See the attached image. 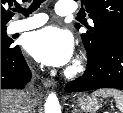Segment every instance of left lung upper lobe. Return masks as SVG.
I'll return each mask as SVG.
<instances>
[{"label":"left lung upper lobe","mask_w":123,"mask_h":113,"mask_svg":"<svg viewBox=\"0 0 123 113\" xmlns=\"http://www.w3.org/2000/svg\"><path fill=\"white\" fill-rule=\"evenodd\" d=\"M93 20L88 31L81 34L86 50L93 51L104 43L123 37V0H81ZM77 29L80 24L75 25Z\"/></svg>","instance_id":"left-lung-upper-lobe-1"}]
</instances>
